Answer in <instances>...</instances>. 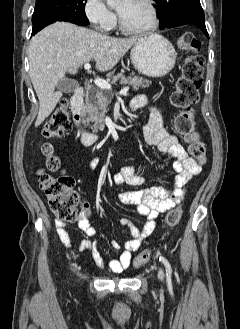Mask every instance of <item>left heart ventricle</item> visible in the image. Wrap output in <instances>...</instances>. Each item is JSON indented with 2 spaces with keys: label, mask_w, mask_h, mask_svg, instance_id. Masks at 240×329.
<instances>
[{
  "label": "left heart ventricle",
  "mask_w": 240,
  "mask_h": 329,
  "mask_svg": "<svg viewBox=\"0 0 240 329\" xmlns=\"http://www.w3.org/2000/svg\"><path fill=\"white\" fill-rule=\"evenodd\" d=\"M117 11L130 28H143L152 21L151 10L145 0H122Z\"/></svg>",
  "instance_id": "obj_1"
}]
</instances>
